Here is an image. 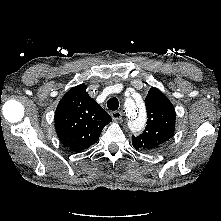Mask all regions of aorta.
Here are the masks:
<instances>
[{"instance_id": "762f6f07", "label": "aorta", "mask_w": 221, "mask_h": 221, "mask_svg": "<svg viewBox=\"0 0 221 221\" xmlns=\"http://www.w3.org/2000/svg\"><path fill=\"white\" fill-rule=\"evenodd\" d=\"M125 113L128 119V126L133 132L139 131L144 127L146 115L141 105L128 98L125 102Z\"/></svg>"}]
</instances>
